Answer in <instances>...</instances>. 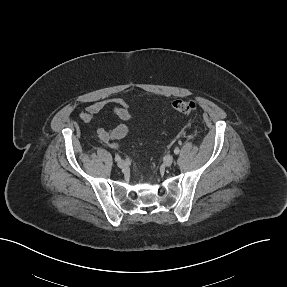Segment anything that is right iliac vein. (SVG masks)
Returning <instances> with one entry per match:
<instances>
[{
  "label": "right iliac vein",
  "instance_id": "63e3f726",
  "mask_svg": "<svg viewBox=\"0 0 287 287\" xmlns=\"http://www.w3.org/2000/svg\"><path fill=\"white\" fill-rule=\"evenodd\" d=\"M117 165L119 168L123 169L126 167V162L123 160H120V161H118Z\"/></svg>",
  "mask_w": 287,
  "mask_h": 287
}]
</instances>
